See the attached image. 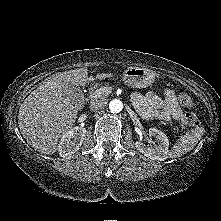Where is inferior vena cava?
Returning a JSON list of instances; mask_svg holds the SVG:
<instances>
[{
  "instance_id": "602c4592",
  "label": "inferior vena cava",
  "mask_w": 221,
  "mask_h": 221,
  "mask_svg": "<svg viewBox=\"0 0 221 221\" xmlns=\"http://www.w3.org/2000/svg\"><path fill=\"white\" fill-rule=\"evenodd\" d=\"M105 100H97L90 105V110L93 112H97L105 107Z\"/></svg>"
}]
</instances>
